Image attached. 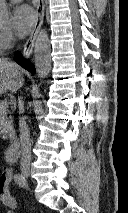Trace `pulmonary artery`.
Wrapping results in <instances>:
<instances>
[{"label": "pulmonary artery", "mask_w": 128, "mask_h": 213, "mask_svg": "<svg viewBox=\"0 0 128 213\" xmlns=\"http://www.w3.org/2000/svg\"><path fill=\"white\" fill-rule=\"evenodd\" d=\"M12 2H20V1H22V0H11Z\"/></svg>", "instance_id": "1"}]
</instances>
